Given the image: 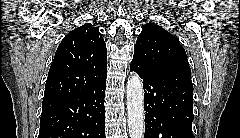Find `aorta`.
<instances>
[{
    "label": "aorta",
    "instance_id": "762f6f07",
    "mask_svg": "<svg viewBox=\"0 0 240 138\" xmlns=\"http://www.w3.org/2000/svg\"><path fill=\"white\" fill-rule=\"evenodd\" d=\"M128 113V132L130 138H143L144 122V90L140 77L132 74L126 86Z\"/></svg>",
    "mask_w": 240,
    "mask_h": 138
}]
</instances>
